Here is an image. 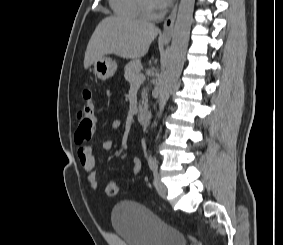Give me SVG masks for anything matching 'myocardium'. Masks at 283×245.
Returning <instances> with one entry per match:
<instances>
[{
	"mask_svg": "<svg viewBox=\"0 0 283 245\" xmlns=\"http://www.w3.org/2000/svg\"><path fill=\"white\" fill-rule=\"evenodd\" d=\"M140 14L146 18H156L161 15V9H150L145 0H137Z\"/></svg>",
	"mask_w": 283,
	"mask_h": 245,
	"instance_id": "obj_1",
	"label": "myocardium"
}]
</instances>
